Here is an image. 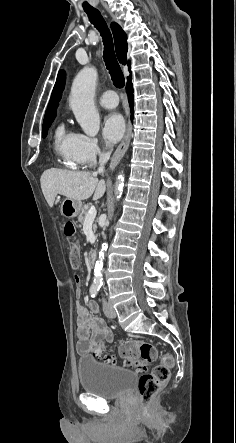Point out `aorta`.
Here are the masks:
<instances>
[{
  "label": "aorta",
  "mask_w": 236,
  "mask_h": 443,
  "mask_svg": "<svg viewBox=\"0 0 236 443\" xmlns=\"http://www.w3.org/2000/svg\"><path fill=\"white\" fill-rule=\"evenodd\" d=\"M97 70L92 66L84 67L75 77L70 94L69 104L83 132L91 137L98 134L100 128L99 113L94 105L95 86L97 81ZM124 186V175L120 173L116 180V199L121 197ZM107 243L102 245L98 260L94 269V284H103V261Z\"/></svg>",
  "instance_id": "762f6f07"
}]
</instances>
